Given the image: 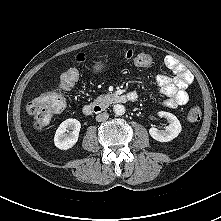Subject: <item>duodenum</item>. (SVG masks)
Masks as SVG:
<instances>
[{
  "label": "duodenum",
  "instance_id": "410a0bca",
  "mask_svg": "<svg viewBox=\"0 0 221 221\" xmlns=\"http://www.w3.org/2000/svg\"><path fill=\"white\" fill-rule=\"evenodd\" d=\"M137 99V95L136 94H122V95H118L115 98V101L117 103H126L129 101H135ZM103 111L102 106L98 105V104H86L82 107V113L86 116H90L92 114L95 113H101Z\"/></svg>",
  "mask_w": 221,
  "mask_h": 221
}]
</instances>
